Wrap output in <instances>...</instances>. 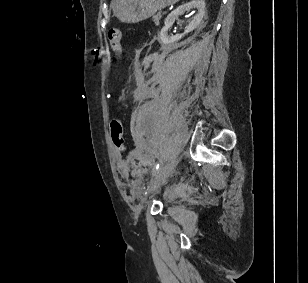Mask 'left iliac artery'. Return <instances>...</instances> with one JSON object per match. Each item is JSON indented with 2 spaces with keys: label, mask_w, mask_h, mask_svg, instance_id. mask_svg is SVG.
I'll use <instances>...</instances> for the list:
<instances>
[{
  "label": "left iliac artery",
  "mask_w": 308,
  "mask_h": 283,
  "mask_svg": "<svg viewBox=\"0 0 308 283\" xmlns=\"http://www.w3.org/2000/svg\"><path fill=\"white\" fill-rule=\"evenodd\" d=\"M159 168H160V164L157 163V164L154 166L153 172L156 173V172L158 171Z\"/></svg>",
  "instance_id": "44dca946"
}]
</instances>
